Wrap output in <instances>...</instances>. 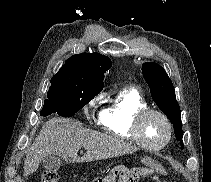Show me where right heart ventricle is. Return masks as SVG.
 Returning a JSON list of instances; mask_svg holds the SVG:
<instances>
[{
	"mask_svg": "<svg viewBox=\"0 0 211 182\" xmlns=\"http://www.w3.org/2000/svg\"><path fill=\"white\" fill-rule=\"evenodd\" d=\"M145 107L147 102L137 89H123L103 111L100 119L102 128L116 138L135 141L132 134L133 118L137 111Z\"/></svg>",
	"mask_w": 211,
	"mask_h": 182,
	"instance_id": "e07e8e85",
	"label": "right heart ventricle"
}]
</instances>
